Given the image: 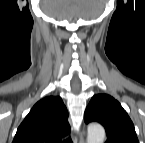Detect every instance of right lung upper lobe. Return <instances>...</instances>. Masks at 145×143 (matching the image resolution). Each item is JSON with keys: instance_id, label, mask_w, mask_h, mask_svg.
<instances>
[{"instance_id": "cb5924a9", "label": "right lung upper lobe", "mask_w": 145, "mask_h": 143, "mask_svg": "<svg viewBox=\"0 0 145 143\" xmlns=\"http://www.w3.org/2000/svg\"><path fill=\"white\" fill-rule=\"evenodd\" d=\"M67 118L62 99L47 96L30 110L18 127L13 143H61L70 132Z\"/></svg>"}]
</instances>
